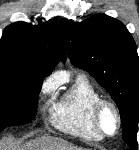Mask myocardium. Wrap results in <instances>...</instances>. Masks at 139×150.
<instances>
[{
    "instance_id": "myocardium-1",
    "label": "myocardium",
    "mask_w": 139,
    "mask_h": 150,
    "mask_svg": "<svg viewBox=\"0 0 139 150\" xmlns=\"http://www.w3.org/2000/svg\"><path fill=\"white\" fill-rule=\"evenodd\" d=\"M106 107H109L112 109L116 117V121H117L116 131L112 135L106 134L101 127L100 118H101L103 109ZM91 119H92V124H93L94 129L102 138H113L117 136L119 132L121 131L122 118H121L120 111L117 105L109 99L101 98L94 104L92 108V112H91Z\"/></svg>"
}]
</instances>
